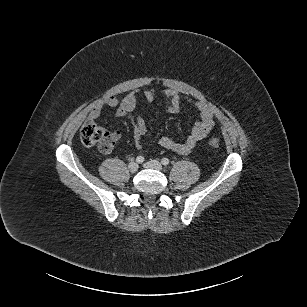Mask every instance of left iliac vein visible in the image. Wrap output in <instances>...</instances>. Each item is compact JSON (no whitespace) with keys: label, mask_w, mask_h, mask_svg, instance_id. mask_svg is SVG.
Instances as JSON below:
<instances>
[{"label":"left iliac vein","mask_w":307,"mask_h":307,"mask_svg":"<svg viewBox=\"0 0 307 307\" xmlns=\"http://www.w3.org/2000/svg\"><path fill=\"white\" fill-rule=\"evenodd\" d=\"M144 167L148 168V169L159 170V171H161L163 169V166L157 160H150V161L144 163Z\"/></svg>","instance_id":"1"}]
</instances>
